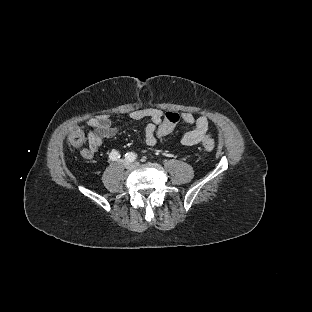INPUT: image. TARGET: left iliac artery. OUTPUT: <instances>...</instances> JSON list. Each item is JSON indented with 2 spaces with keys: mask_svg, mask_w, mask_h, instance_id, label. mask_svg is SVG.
<instances>
[{
  "mask_svg": "<svg viewBox=\"0 0 312 312\" xmlns=\"http://www.w3.org/2000/svg\"><path fill=\"white\" fill-rule=\"evenodd\" d=\"M126 155H132V156H135L133 153H127Z\"/></svg>",
  "mask_w": 312,
  "mask_h": 312,
  "instance_id": "left-iliac-artery-1",
  "label": "left iliac artery"
}]
</instances>
